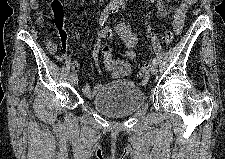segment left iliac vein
Returning a JSON list of instances; mask_svg holds the SVG:
<instances>
[{
  "label": "left iliac vein",
  "mask_w": 225,
  "mask_h": 159,
  "mask_svg": "<svg viewBox=\"0 0 225 159\" xmlns=\"http://www.w3.org/2000/svg\"><path fill=\"white\" fill-rule=\"evenodd\" d=\"M157 71H158L157 70V66L154 65V64H152L151 67H150L151 74L156 75L157 74Z\"/></svg>",
  "instance_id": "4c4485c4"
}]
</instances>
